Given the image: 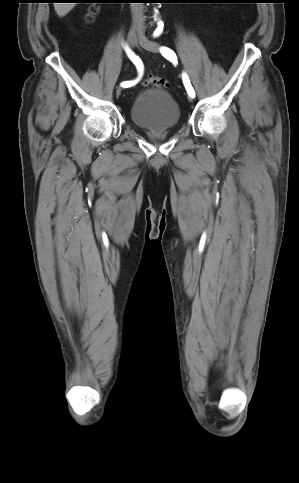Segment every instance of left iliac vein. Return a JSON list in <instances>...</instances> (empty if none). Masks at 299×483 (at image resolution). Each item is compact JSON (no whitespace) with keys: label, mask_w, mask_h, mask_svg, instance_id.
Masks as SVG:
<instances>
[{"label":"left iliac vein","mask_w":299,"mask_h":483,"mask_svg":"<svg viewBox=\"0 0 299 483\" xmlns=\"http://www.w3.org/2000/svg\"><path fill=\"white\" fill-rule=\"evenodd\" d=\"M139 44L146 50L158 53L159 45L156 42L148 40L144 35L139 36ZM192 101L191 97L189 98Z\"/></svg>","instance_id":"obj_1"}]
</instances>
